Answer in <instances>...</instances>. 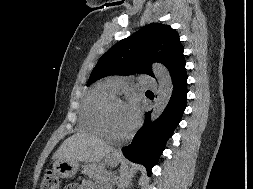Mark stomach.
Instances as JSON below:
<instances>
[{
  "label": "stomach",
  "mask_w": 253,
  "mask_h": 189,
  "mask_svg": "<svg viewBox=\"0 0 253 189\" xmlns=\"http://www.w3.org/2000/svg\"><path fill=\"white\" fill-rule=\"evenodd\" d=\"M120 157L117 154L110 153L106 156L105 162L108 165L115 166L119 163ZM79 163L76 160H56L53 164L54 172L61 178H70L78 171Z\"/></svg>",
  "instance_id": "obj_1"
}]
</instances>
